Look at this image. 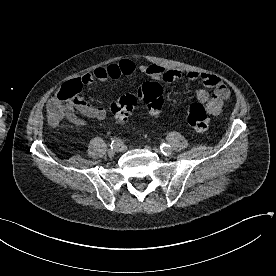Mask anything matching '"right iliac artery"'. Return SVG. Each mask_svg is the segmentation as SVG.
Returning a JSON list of instances; mask_svg holds the SVG:
<instances>
[{"label": "right iliac artery", "mask_w": 276, "mask_h": 276, "mask_svg": "<svg viewBox=\"0 0 276 276\" xmlns=\"http://www.w3.org/2000/svg\"><path fill=\"white\" fill-rule=\"evenodd\" d=\"M122 145H123V142L120 139H118V138L113 139L112 142H111V148H113V147H120Z\"/></svg>", "instance_id": "obj_1"}]
</instances>
